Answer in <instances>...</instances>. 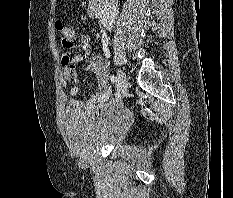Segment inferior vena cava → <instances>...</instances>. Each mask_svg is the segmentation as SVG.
Listing matches in <instances>:
<instances>
[{"instance_id": "602c4592", "label": "inferior vena cava", "mask_w": 233, "mask_h": 198, "mask_svg": "<svg viewBox=\"0 0 233 198\" xmlns=\"http://www.w3.org/2000/svg\"><path fill=\"white\" fill-rule=\"evenodd\" d=\"M100 6L103 25L111 31L117 19L118 0H100Z\"/></svg>"}]
</instances>
